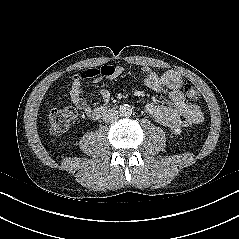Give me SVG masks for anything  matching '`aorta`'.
Masks as SVG:
<instances>
[{
  "instance_id": "aorta-1",
  "label": "aorta",
  "mask_w": 239,
  "mask_h": 239,
  "mask_svg": "<svg viewBox=\"0 0 239 239\" xmlns=\"http://www.w3.org/2000/svg\"><path fill=\"white\" fill-rule=\"evenodd\" d=\"M119 113L121 116H124V117L130 116L132 114V108L130 105L124 104L120 106Z\"/></svg>"
}]
</instances>
